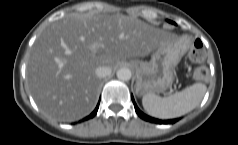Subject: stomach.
<instances>
[{
	"label": "stomach",
	"mask_w": 238,
	"mask_h": 145,
	"mask_svg": "<svg viewBox=\"0 0 238 145\" xmlns=\"http://www.w3.org/2000/svg\"><path fill=\"white\" fill-rule=\"evenodd\" d=\"M181 54L178 43L167 40L160 44L151 56L149 62H144L136 76V93H160L169 89L174 81V69Z\"/></svg>",
	"instance_id": "obj_1"
}]
</instances>
